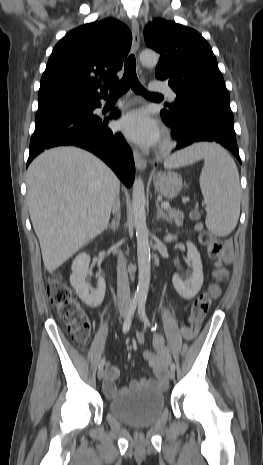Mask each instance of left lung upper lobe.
I'll return each mask as SVG.
<instances>
[{"instance_id":"1","label":"left lung upper lobe","mask_w":263,"mask_h":465,"mask_svg":"<svg viewBox=\"0 0 263 465\" xmlns=\"http://www.w3.org/2000/svg\"><path fill=\"white\" fill-rule=\"evenodd\" d=\"M146 45L161 54L155 77L176 92L169 113L205 102L230 106L229 92L215 55L194 29L156 18L144 30Z\"/></svg>"}]
</instances>
